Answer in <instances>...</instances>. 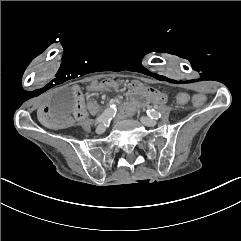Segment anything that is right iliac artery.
Instances as JSON below:
<instances>
[{"label":"right iliac artery","instance_id":"obj_1","mask_svg":"<svg viewBox=\"0 0 241 241\" xmlns=\"http://www.w3.org/2000/svg\"><path fill=\"white\" fill-rule=\"evenodd\" d=\"M115 105H110V108L105 110L99 117L96 118V123L109 122L116 114Z\"/></svg>","mask_w":241,"mask_h":241}]
</instances>
